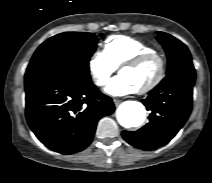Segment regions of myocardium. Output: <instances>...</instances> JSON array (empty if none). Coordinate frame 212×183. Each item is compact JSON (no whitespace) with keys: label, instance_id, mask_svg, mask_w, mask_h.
Instances as JSON below:
<instances>
[{"label":"myocardium","instance_id":"myocardium-1","mask_svg":"<svg viewBox=\"0 0 212 183\" xmlns=\"http://www.w3.org/2000/svg\"><path fill=\"white\" fill-rule=\"evenodd\" d=\"M151 59H156L158 61V63H159L158 74L152 80V82L150 84H148L147 86H145L143 88L137 89V92L139 94H146V93L151 92L163 80V78L165 76V73H166V60H165V57L161 53H159L157 51H149V52L142 53V54H140V55H138V56L126 61L124 64H122L120 66L119 72H121L124 69L138 67V66L142 65L143 63L151 60Z\"/></svg>","mask_w":212,"mask_h":183}]
</instances>
